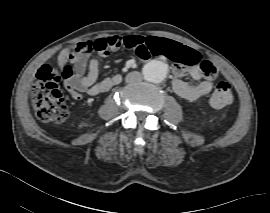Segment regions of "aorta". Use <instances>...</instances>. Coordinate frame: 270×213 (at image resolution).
I'll list each match as a JSON object with an SVG mask.
<instances>
[{"label":"aorta","mask_w":270,"mask_h":213,"mask_svg":"<svg viewBox=\"0 0 270 213\" xmlns=\"http://www.w3.org/2000/svg\"><path fill=\"white\" fill-rule=\"evenodd\" d=\"M167 74V64L162 61H149L143 68V75L145 80L152 83L162 82L166 78Z\"/></svg>","instance_id":"1"}]
</instances>
